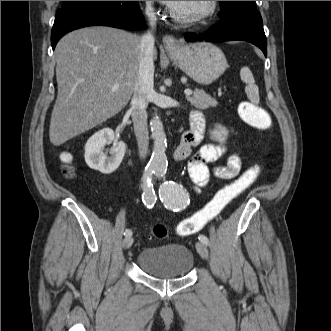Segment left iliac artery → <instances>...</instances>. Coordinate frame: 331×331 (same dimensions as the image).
<instances>
[{
	"mask_svg": "<svg viewBox=\"0 0 331 331\" xmlns=\"http://www.w3.org/2000/svg\"><path fill=\"white\" fill-rule=\"evenodd\" d=\"M166 171L163 169H157L155 171L156 176L164 178ZM160 200L167 209L174 212L182 211L189 204V196L184 190L183 186L173 182L165 181L159 189ZM199 240L208 245L209 240L205 235H200Z\"/></svg>",
	"mask_w": 331,
	"mask_h": 331,
	"instance_id": "44dca946",
	"label": "left iliac artery"
}]
</instances>
